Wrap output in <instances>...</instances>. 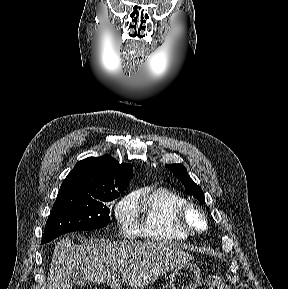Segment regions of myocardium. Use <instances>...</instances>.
<instances>
[{
	"mask_svg": "<svg viewBox=\"0 0 288 289\" xmlns=\"http://www.w3.org/2000/svg\"><path fill=\"white\" fill-rule=\"evenodd\" d=\"M197 213L202 221L201 227H194L189 222V213ZM177 218L180 225L190 234L196 235L205 232L208 229V219L205 211L197 204L192 202H187L182 205L177 211Z\"/></svg>",
	"mask_w": 288,
	"mask_h": 289,
	"instance_id": "f54148a6",
	"label": "myocardium"
}]
</instances>
